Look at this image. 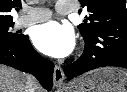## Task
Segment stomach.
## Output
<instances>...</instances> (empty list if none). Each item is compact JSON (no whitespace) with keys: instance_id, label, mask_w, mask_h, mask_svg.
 Here are the masks:
<instances>
[{"instance_id":"0dacf381","label":"stomach","mask_w":127,"mask_h":92,"mask_svg":"<svg viewBox=\"0 0 127 92\" xmlns=\"http://www.w3.org/2000/svg\"><path fill=\"white\" fill-rule=\"evenodd\" d=\"M65 92H127V72L115 67L96 69L72 81Z\"/></svg>"}]
</instances>
